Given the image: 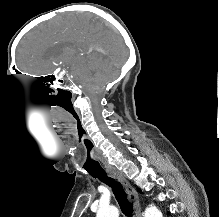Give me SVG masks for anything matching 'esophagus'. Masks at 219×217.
<instances>
[{
  "label": "esophagus",
  "instance_id": "obj_1",
  "mask_svg": "<svg viewBox=\"0 0 219 217\" xmlns=\"http://www.w3.org/2000/svg\"><path fill=\"white\" fill-rule=\"evenodd\" d=\"M107 173L110 177H113L118 182H120L124 187L130 202L133 204L135 217H142L139 196L132 184L126 179V177L121 172H119L115 168H108Z\"/></svg>",
  "mask_w": 219,
  "mask_h": 217
}]
</instances>
